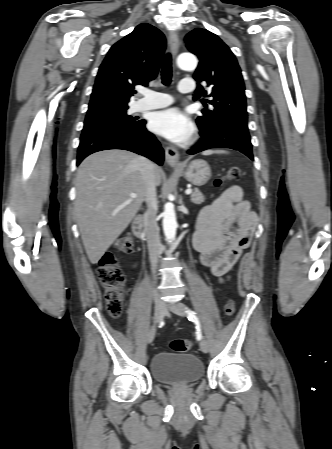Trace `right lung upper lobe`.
I'll list each match as a JSON object with an SVG mask.
<instances>
[{
  "label": "right lung upper lobe",
  "instance_id": "right-lung-upper-lobe-1",
  "mask_svg": "<svg viewBox=\"0 0 332 449\" xmlns=\"http://www.w3.org/2000/svg\"><path fill=\"white\" fill-rule=\"evenodd\" d=\"M165 49L163 33L147 23L115 43L99 67L88 112L128 107L135 86L156 77Z\"/></svg>",
  "mask_w": 332,
  "mask_h": 449
}]
</instances>
